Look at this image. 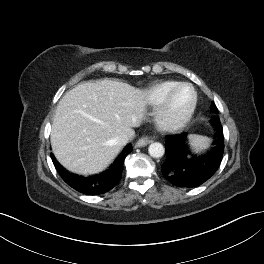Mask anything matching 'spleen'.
Instances as JSON below:
<instances>
[{
	"label": "spleen",
	"mask_w": 264,
	"mask_h": 264,
	"mask_svg": "<svg viewBox=\"0 0 264 264\" xmlns=\"http://www.w3.org/2000/svg\"><path fill=\"white\" fill-rule=\"evenodd\" d=\"M191 146L197 151L209 148L211 139L206 136L191 134L188 136Z\"/></svg>",
	"instance_id": "obj_1"
}]
</instances>
